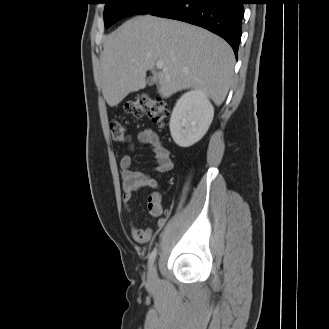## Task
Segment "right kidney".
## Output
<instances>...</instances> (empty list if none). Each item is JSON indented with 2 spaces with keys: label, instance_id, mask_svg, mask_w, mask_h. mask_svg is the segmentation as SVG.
I'll list each match as a JSON object with an SVG mask.
<instances>
[{
  "label": "right kidney",
  "instance_id": "1",
  "mask_svg": "<svg viewBox=\"0 0 329 329\" xmlns=\"http://www.w3.org/2000/svg\"><path fill=\"white\" fill-rule=\"evenodd\" d=\"M214 117V108L206 92L194 89L177 101L171 118L170 133L180 147H190L207 132Z\"/></svg>",
  "mask_w": 329,
  "mask_h": 329
}]
</instances>
